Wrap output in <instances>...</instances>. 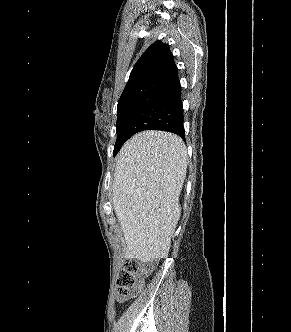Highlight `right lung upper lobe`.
Returning a JSON list of instances; mask_svg holds the SVG:
<instances>
[{"mask_svg": "<svg viewBox=\"0 0 291 332\" xmlns=\"http://www.w3.org/2000/svg\"><path fill=\"white\" fill-rule=\"evenodd\" d=\"M177 75L178 69L169 46L156 41L136 62L119 100L148 94Z\"/></svg>", "mask_w": 291, "mask_h": 332, "instance_id": "cb5924a9", "label": "right lung upper lobe"}]
</instances>
